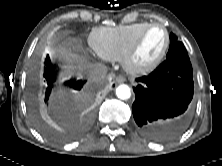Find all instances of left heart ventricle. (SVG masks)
Segmentation results:
<instances>
[{
  "label": "left heart ventricle",
  "mask_w": 222,
  "mask_h": 166,
  "mask_svg": "<svg viewBox=\"0 0 222 166\" xmlns=\"http://www.w3.org/2000/svg\"><path fill=\"white\" fill-rule=\"evenodd\" d=\"M164 44V30L159 27L151 28L143 36L135 53L134 62L137 65H146L150 63L159 55Z\"/></svg>",
  "instance_id": "1"
}]
</instances>
